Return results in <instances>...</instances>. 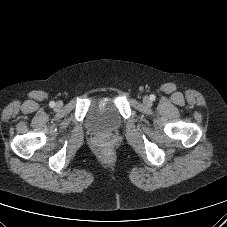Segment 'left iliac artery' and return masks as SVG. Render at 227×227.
Here are the masks:
<instances>
[{"label":"left iliac artery","mask_w":227,"mask_h":227,"mask_svg":"<svg viewBox=\"0 0 227 227\" xmlns=\"http://www.w3.org/2000/svg\"><path fill=\"white\" fill-rule=\"evenodd\" d=\"M155 98H156L155 95H150V100H151V101H154Z\"/></svg>","instance_id":"obj_1"}]
</instances>
